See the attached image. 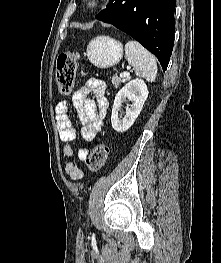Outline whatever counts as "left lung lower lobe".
<instances>
[{
	"label": "left lung lower lobe",
	"mask_w": 221,
	"mask_h": 263,
	"mask_svg": "<svg viewBox=\"0 0 221 263\" xmlns=\"http://www.w3.org/2000/svg\"><path fill=\"white\" fill-rule=\"evenodd\" d=\"M175 0H111L96 19L129 34L167 69L174 43Z\"/></svg>",
	"instance_id": "0a47b994"
}]
</instances>
